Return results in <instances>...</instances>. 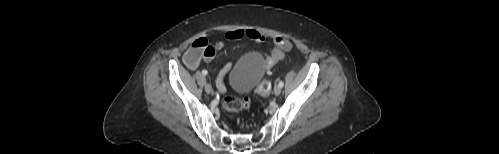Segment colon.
<instances>
[{
	"instance_id": "1",
	"label": "colon",
	"mask_w": 499,
	"mask_h": 154,
	"mask_svg": "<svg viewBox=\"0 0 499 154\" xmlns=\"http://www.w3.org/2000/svg\"><path fill=\"white\" fill-rule=\"evenodd\" d=\"M274 45L275 49L273 56L269 58L266 63L268 71L273 64L283 59L286 52H288L292 47L291 43L282 37H276L274 39ZM214 54L215 50L209 45L208 41L205 38H198L191 43L189 49L187 50L185 54V61L189 66H192L197 64L201 59H211ZM270 90L271 85L269 82H262L256 88L257 94L264 98L269 96ZM222 105L227 111L238 112L249 109L251 101L247 97L237 98L228 96L224 98Z\"/></svg>"
}]
</instances>
